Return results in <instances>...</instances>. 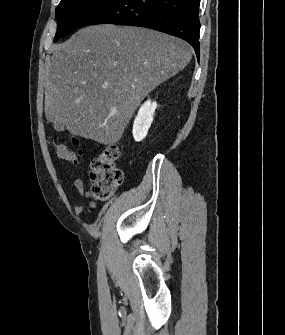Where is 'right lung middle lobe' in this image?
I'll use <instances>...</instances> for the list:
<instances>
[{
	"mask_svg": "<svg viewBox=\"0 0 285 335\" xmlns=\"http://www.w3.org/2000/svg\"><path fill=\"white\" fill-rule=\"evenodd\" d=\"M116 0H61L56 8L58 28L54 41L68 35Z\"/></svg>",
	"mask_w": 285,
	"mask_h": 335,
	"instance_id": "obj_1",
	"label": "right lung middle lobe"
}]
</instances>
